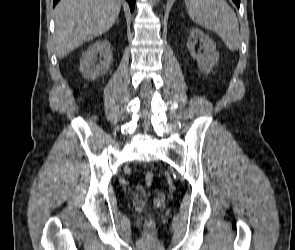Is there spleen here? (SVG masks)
I'll use <instances>...</instances> for the list:
<instances>
[{"label":"spleen","mask_w":295,"mask_h":250,"mask_svg":"<svg viewBox=\"0 0 295 250\" xmlns=\"http://www.w3.org/2000/svg\"><path fill=\"white\" fill-rule=\"evenodd\" d=\"M190 18L217 33L230 51L240 46L239 24L226 0H185Z\"/></svg>","instance_id":"1"}]
</instances>
